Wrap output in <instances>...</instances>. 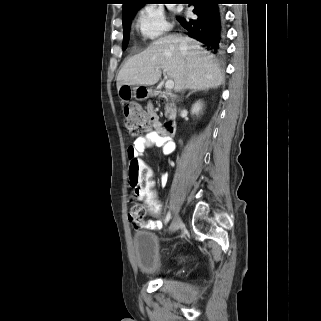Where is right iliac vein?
<instances>
[{"instance_id":"obj_1","label":"right iliac vein","mask_w":321,"mask_h":321,"mask_svg":"<svg viewBox=\"0 0 321 321\" xmlns=\"http://www.w3.org/2000/svg\"><path fill=\"white\" fill-rule=\"evenodd\" d=\"M180 224H181L180 217H179L178 214H176V215L174 216V218H173V221H172V223H171V226H170V228H169V231H170V232L176 231V230L178 229V227L180 226Z\"/></svg>"}]
</instances>
